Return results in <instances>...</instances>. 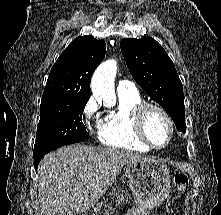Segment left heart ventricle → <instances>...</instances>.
Masks as SVG:
<instances>
[{"label":"left heart ventricle","mask_w":221,"mask_h":215,"mask_svg":"<svg viewBox=\"0 0 221 215\" xmlns=\"http://www.w3.org/2000/svg\"><path fill=\"white\" fill-rule=\"evenodd\" d=\"M145 131L153 144L164 145L169 138V125L164 116L157 110H149L145 119Z\"/></svg>","instance_id":"1"}]
</instances>
